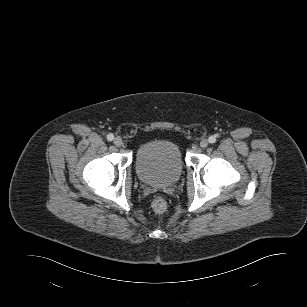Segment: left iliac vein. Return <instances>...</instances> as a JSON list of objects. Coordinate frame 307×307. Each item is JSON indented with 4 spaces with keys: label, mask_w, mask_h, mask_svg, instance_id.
I'll return each instance as SVG.
<instances>
[{
    "label": "left iliac vein",
    "mask_w": 307,
    "mask_h": 307,
    "mask_svg": "<svg viewBox=\"0 0 307 307\" xmlns=\"http://www.w3.org/2000/svg\"><path fill=\"white\" fill-rule=\"evenodd\" d=\"M208 146V140L207 139H202L200 142V147L206 148Z\"/></svg>",
    "instance_id": "4c4485c4"
}]
</instances>
